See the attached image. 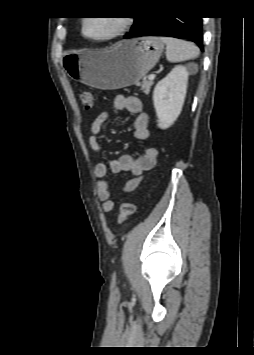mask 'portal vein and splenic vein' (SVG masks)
<instances>
[{"mask_svg":"<svg viewBox=\"0 0 254 355\" xmlns=\"http://www.w3.org/2000/svg\"><path fill=\"white\" fill-rule=\"evenodd\" d=\"M155 77H156L155 74H150V75H149V79H150V80H153Z\"/></svg>","mask_w":254,"mask_h":355,"instance_id":"obj_1","label":"portal vein and splenic vein"}]
</instances>
